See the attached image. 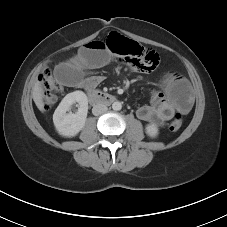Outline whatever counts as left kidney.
Masks as SVG:
<instances>
[{
  "label": "left kidney",
  "instance_id": "1",
  "mask_svg": "<svg viewBox=\"0 0 227 227\" xmlns=\"http://www.w3.org/2000/svg\"><path fill=\"white\" fill-rule=\"evenodd\" d=\"M158 127L154 124H149L146 126V133L150 136V137H156L158 135Z\"/></svg>",
  "mask_w": 227,
  "mask_h": 227
}]
</instances>
